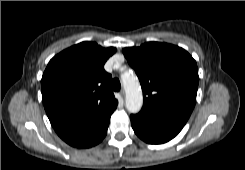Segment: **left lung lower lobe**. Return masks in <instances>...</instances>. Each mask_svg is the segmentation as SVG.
<instances>
[{"mask_svg":"<svg viewBox=\"0 0 245 170\" xmlns=\"http://www.w3.org/2000/svg\"><path fill=\"white\" fill-rule=\"evenodd\" d=\"M131 125L136 135L150 144L165 143L174 138L184 125L160 119L140 111L131 115Z\"/></svg>","mask_w":245,"mask_h":170,"instance_id":"1","label":"left lung lower lobe"}]
</instances>
